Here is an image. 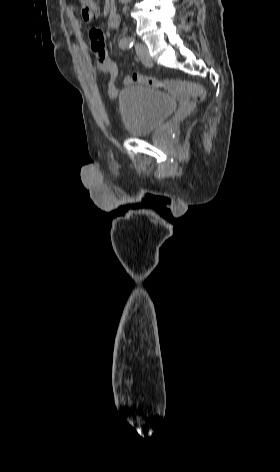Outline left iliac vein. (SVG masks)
Returning a JSON list of instances; mask_svg holds the SVG:
<instances>
[{
  "label": "left iliac vein",
  "mask_w": 280,
  "mask_h": 472,
  "mask_svg": "<svg viewBox=\"0 0 280 472\" xmlns=\"http://www.w3.org/2000/svg\"><path fill=\"white\" fill-rule=\"evenodd\" d=\"M135 50L138 58L145 66L152 65V59L149 55V51L146 45L138 42L135 44Z\"/></svg>",
  "instance_id": "4c4485c4"
}]
</instances>
